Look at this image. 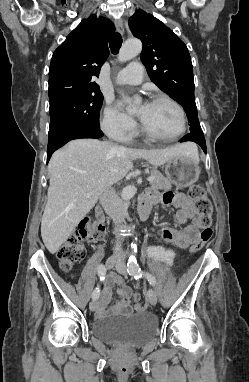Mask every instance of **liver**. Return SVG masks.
Segmentation results:
<instances>
[{"mask_svg": "<svg viewBox=\"0 0 249 382\" xmlns=\"http://www.w3.org/2000/svg\"><path fill=\"white\" fill-rule=\"evenodd\" d=\"M180 154L199 159L197 147L191 143L146 150L119 149L97 139H76L56 151L48 164L50 184L41 220V236L48 251L54 254L59 250L101 193L133 168L134 160L142 158L157 167Z\"/></svg>", "mask_w": 249, "mask_h": 382, "instance_id": "obj_1", "label": "liver"}]
</instances>
